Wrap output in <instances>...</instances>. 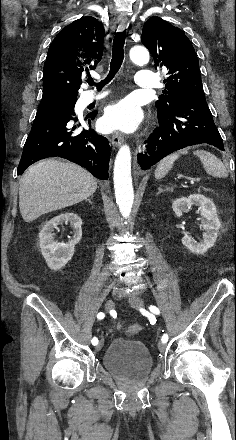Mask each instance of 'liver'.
I'll return each instance as SVG.
<instances>
[{
	"instance_id": "1",
	"label": "liver",
	"mask_w": 236,
	"mask_h": 440,
	"mask_svg": "<svg viewBox=\"0 0 236 440\" xmlns=\"http://www.w3.org/2000/svg\"><path fill=\"white\" fill-rule=\"evenodd\" d=\"M96 189L95 178L81 167L43 160L31 166L21 178L20 213L25 222H32L45 213L86 200Z\"/></svg>"
}]
</instances>
